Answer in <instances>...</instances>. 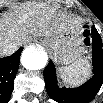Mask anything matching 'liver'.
<instances>
[{
	"mask_svg": "<svg viewBox=\"0 0 103 103\" xmlns=\"http://www.w3.org/2000/svg\"><path fill=\"white\" fill-rule=\"evenodd\" d=\"M81 28L78 20L67 13L56 11L45 2L27 1L18 10L5 15L0 20L1 45L15 43L10 55L23 43L34 37H51L63 31Z\"/></svg>",
	"mask_w": 103,
	"mask_h": 103,
	"instance_id": "6515ba94",
	"label": "liver"
}]
</instances>
